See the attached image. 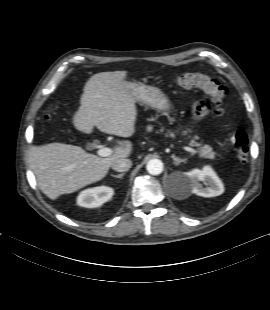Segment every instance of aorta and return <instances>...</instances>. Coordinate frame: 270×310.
<instances>
[{"label": "aorta", "mask_w": 270, "mask_h": 310, "mask_svg": "<svg viewBox=\"0 0 270 310\" xmlns=\"http://www.w3.org/2000/svg\"><path fill=\"white\" fill-rule=\"evenodd\" d=\"M146 169L151 175H159L163 171V163L159 159H151L148 161Z\"/></svg>", "instance_id": "762f6f07"}]
</instances>
